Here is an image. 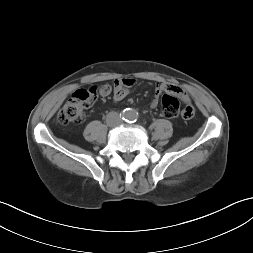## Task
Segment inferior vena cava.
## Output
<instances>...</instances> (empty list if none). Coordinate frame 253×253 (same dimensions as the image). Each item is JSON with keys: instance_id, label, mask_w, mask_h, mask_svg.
<instances>
[{"instance_id": "602c4592", "label": "inferior vena cava", "mask_w": 253, "mask_h": 253, "mask_svg": "<svg viewBox=\"0 0 253 253\" xmlns=\"http://www.w3.org/2000/svg\"><path fill=\"white\" fill-rule=\"evenodd\" d=\"M106 123L109 126H117L121 123V118L117 112H110L107 115Z\"/></svg>"}]
</instances>
